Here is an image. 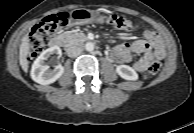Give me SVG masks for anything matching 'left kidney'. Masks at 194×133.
Masks as SVG:
<instances>
[{"label":"left kidney","mask_w":194,"mask_h":133,"mask_svg":"<svg viewBox=\"0 0 194 133\" xmlns=\"http://www.w3.org/2000/svg\"><path fill=\"white\" fill-rule=\"evenodd\" d=\"M116 72L121 78L125 80L135 81L138 79V74L136 71L128 65L117 66Z\"/></svg>","instance_id":"5707ae66"}]
</instances>
